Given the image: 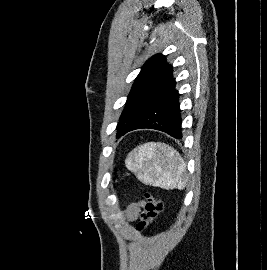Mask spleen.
I'll return each instance as SVG.
<instances>
[{
  "label": "spleen",
  "mask_w": 267,
  "mask_h": 270,
  "mask_svg": "<svg viewBox=\"0 0 267 270\" xmlns=\"http://www.w3.org/2000/svg\"><path fill=\"white\" fill-rule=\"evenodd\" d=\"M125 165L146 185L180 190L186 186L185 162L168 144L147 142L137 146L128 154Z\"/></svg>",
  "instance_id": "obj_1"
}]
</instances>
